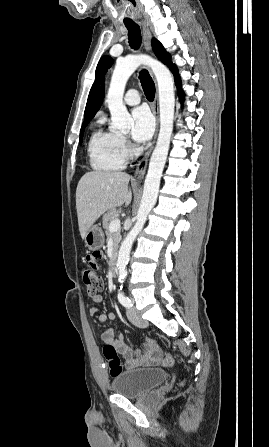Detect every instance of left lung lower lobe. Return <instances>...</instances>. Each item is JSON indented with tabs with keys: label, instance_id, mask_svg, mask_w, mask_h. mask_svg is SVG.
<instances>
[{
	"label": "left lung lower lobe",
	"instance_id": "left-lung-lower-lobe-1",
	"mask_svg": "<svg viewBox=\"0 0 269 447\" xmlns=\"http://www.w3.org/2000/svg\"><path fill=\"white\" fill-rule=\"evenodd\" d=\"M169 68L172 71V73L174 74L175 83H176V86L178 88V94H179L180 100L183 101L184 94H183V92L181 90V82H180V78L178 76V70H177V68H176V66L174 64H171L169 66Z\"/></svg>",
	"mask_w": 269,
	"mask_h": 447
}]
</instances>
